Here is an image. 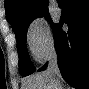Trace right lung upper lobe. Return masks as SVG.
I'll return each mask as SVG.
<instances>
[{
    "instance_id": "1",
    "label": "right lung upper lobe",
    "mask_w": 89,
    "mask_h": 89,
    "mask_svg": "<svg viewBox=\"0 0 89 89\" xmlns=\"http://www.w3.org/2000/svg\"><path fill=\"white\" fill-rule=\"evenodd\" d=\"M48 0H5L6 18L12 28L20 21L47 10Z\"/></svg>"
}]
</instances>
